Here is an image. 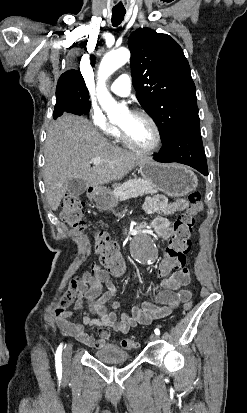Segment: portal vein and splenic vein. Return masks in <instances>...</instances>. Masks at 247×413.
I'll return each instance as SVG.
<instances>
[{"instance_id":"portal-vein-and-splenic-vein-1","label":"portal vein and splenic vein","mask_w":247,"mask_h":413,"mask_svg":"<svg viewBox=\"0 0 247 413\" xmlns=\"http://www.w3.org/2000/svg\"><path fill=\"white\" fill-rule=\"evenodd\" d=\"M90 162H92V164H100L101 158H91Z\"/></svg>"}]
</instances>
